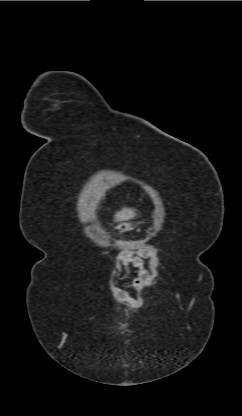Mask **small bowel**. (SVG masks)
I'll return each instance as SVG.
<instances>
[{
    "label": "small bowel",
    "instance_id": "c3829d8e",
    "mask_svg": "<svg viewBox=\"0 0 242 416\" xmlns=\"http://www.w3.org/2000/svg\"><path fill=\"white\" fill-rule=\"evenodd\" d=\"M149 256L148 251L140 248L126 250L119 257V263L123 266L125 272L129 273L132 269L137 270L136 276L131 281L134 288L144 287L151 279V274L145 267V259ZM119 297L130 305H136L141 302L139 298L129 296L126 292H120Z\"/></svg>",
    "mask_w": 242,
    "mask_h": 416
}]
</instances>
